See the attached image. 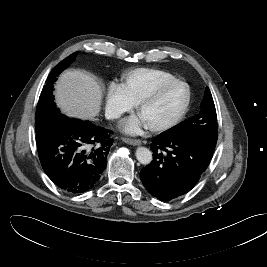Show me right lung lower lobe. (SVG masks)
<instances>
[{"label":"right lung lower lobe","instance_id":"98d812e1","mask_svg":"<svg viewBox=\"0 0 267 267\" xmlns=\"http://www.w3.org/2000/svg\"><path fill=\"white\" fill-rule=\"evenodd\" d=\"M36 132L42 168L60 189L79 194L95 186L106 168L113 144L111 131L89 121L56 114Z\"/></svg>","mask_w":267,"mask_h":267}]
</instances>
